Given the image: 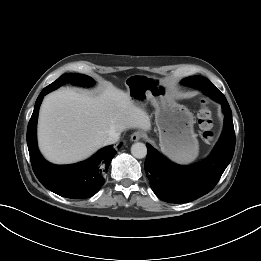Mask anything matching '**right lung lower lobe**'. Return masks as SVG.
<instances>
[{
	"mask_svg": "<svg viewBox=\"0 0 261 261\" xmlns=\"http://www.w3.org/2000/svg\"><path fill=\"white\" fill-rule=\"evenodd\" d=\"M59 86L61 85L45 87L36 100L27 128L30 160L36 177L47 189L66 198L85 199L96 194L104 184V174L116 150L112 146H107L88 160L73 165H53L41 156L36 139L39 107L43 97Z\"/></svg>",
	"mask_w": 261,
	"mask_h": 261,
	"instance_id": "1",
	"label": "right lung lower lobe"
}]
</instances>
